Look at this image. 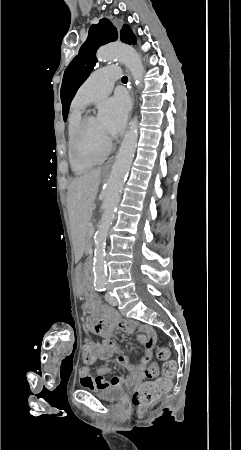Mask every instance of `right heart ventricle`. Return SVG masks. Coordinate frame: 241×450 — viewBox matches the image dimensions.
I'll list each match as a JSON object with an SVG mask.
<instances>
[{
	"label": "right heart ventricle",
	"mask_w": 241,
	"mask_h": 450,
	"mask_svg": "<svg viewBox=\"0 0 241 450\" xmlns=\"http://www.w3.org/2000/svg\"><path fill=\"white\" fill-rule=\"evenodd\" d=\"M82 116V105L75 103L72 107L70 116H69V127H68V132H69V154H70V159L71 162L73 164V166L75 168H84L86 167V165H83L82 162H75V157H74V152L73 149H70V144H72L70 142V137L73 134V127L75 122ZM107 126H110V124H106ZM81 129V128H80ZM94 158V162H96L98 160V157H93Z\"/></svg>",
	"instance_id": "1"
}]
</instances>
